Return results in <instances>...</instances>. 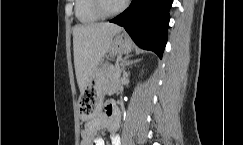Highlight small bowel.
<instances>
[{
    "label": "small bowel",
    "mask_w": 243,
    "mask_h": 145,
    "mask_svg": "<svg viewBox=\"0 0 243 145\" xmlns=\"http://www.w3.org/2000/svg\"><path fill=\"white\" fill-rule=\"evenodd\" d=\"M120 121L121 116L116 105L107 102L104 111L85 124L81 145H105L100 136V132L104 129L111 133V145H121L120 137L116 134L120 127Z\"/></svg>",
    "instance_id": "1"
}]
</instances>
